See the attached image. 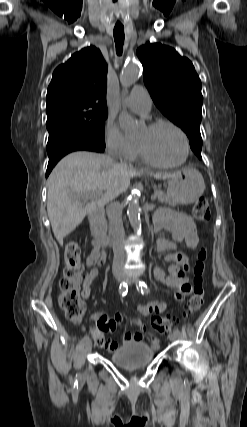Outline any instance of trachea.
<instances>
[{"mask_svg":"<svg viewBox=\"0 0 247 427\" xmlns=\"http://www.w3.org/2000/svg\"><path fill=\"white\" fill-rule=\"evenodd\" d=\"M124 27L122 25H116L114 27V41L116 45L117 54H122V48L124 44Z\"/></svg>","mask_w":247,"mask_h":427,"instance_id":"3493384b","label":"trachea"}]
</instances>
